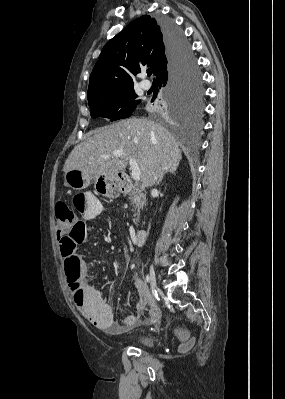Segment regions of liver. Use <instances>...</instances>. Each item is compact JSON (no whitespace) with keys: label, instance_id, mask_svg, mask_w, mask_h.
Instances as JSON below:
<instances>
[{"label":"liver","instance_id":"liver-1","mask_svg":"<svg viewBox=\"0 0 285 399\" xmlns=\"http://www.w3.org/2000/svg\"><path fill=\"white\" fill-rule=\"evenodd\" d=\"M116 151L123 155L113 157ZM130 159L140 168L142 187H150L167 169L177 167L182 155L179 143L163 126L148 119L130 118L97 130L75 146L63 170L78 169L90 177L115 176Z\"/></svg>","mask_w":285,"mask_h":399}]
</instances>
